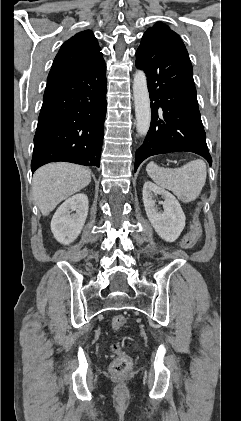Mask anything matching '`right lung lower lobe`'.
Listing matches in <instances>:
<instances>
[{"label":"right lung lower lobe","instance_id":"98d812e1","mask_svg":"<svg viewBox=\"0 0 241 421\" xmlns=\"http://www.w3.org/2000/svg\"><path fill=\"white\" fill-rule=\"evenodd\" d=\"M105 115L103 58L48 80L34 136L32 172L54 161L99 167Z\"/></svg>","mask_w":241,"mask_h":421}]
</instances>
